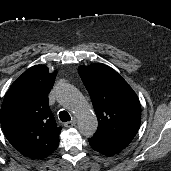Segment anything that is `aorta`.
<instances>
[{
    "instance_id": "762f6f07",
    "label": "aorta",
    "mask_w": 171,
    "mask_h": 171,
    "mask_svg": "<svg viewBox=\"0 0 171 171\" xmlns=\"http://www.w3.org/2000/svg\"><path fill=\"white\" fill-rule=\"evenodd\" d=\"M58 101L77 118L79 132L91 137L97 130L98 120L89 102L70 84H62L57 93Z\"/></svg>"
}]
</instances>
